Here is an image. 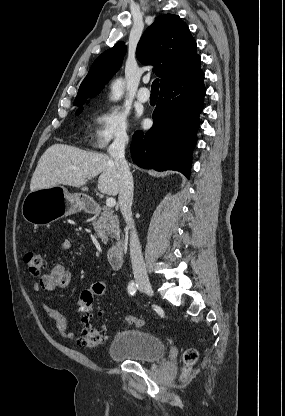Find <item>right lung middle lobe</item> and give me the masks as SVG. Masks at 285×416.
Instances as JSON below:
<instances>
[{"label": "right lung middle lobe", "mask_w": 285, "mask_h": 416, "mask_svg": "<svg viewBox=\"0 0 285 416\" xmlns=\"http://www.w3.org/2000/svg\"><path fill=\"white\" fill-rule=\"evenodd\" d=\"M82 110V108H79L76 114H79Z\"/></svg>", "instance_id": "obj_1"}]
</instances>
